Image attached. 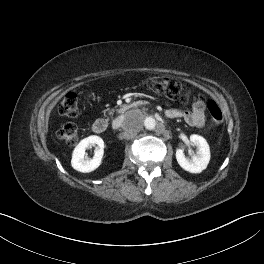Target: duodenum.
Here are the masks:
<instances>
[{"instance_id": "410a0bca", "label": "duodenum", "mask_w": 264, "mask_h": 264, "mask_svg": "<svg viewBox=\"0 0 264 264\" xmlns=\"http://www.w3.org/2000/svg\"><path fill=\"white\" fill-rule=\"evenodd\" d=\"M138 106H139V104L132 103L130 105H126V106L122 107L121 110H122V112H126V111L133 109V108H136ZM108 126H109V122L106 118H99L93 123L92 130H93V132L99 134V133L105 132L107 130Z\"/></svg>"}]
</instances>
